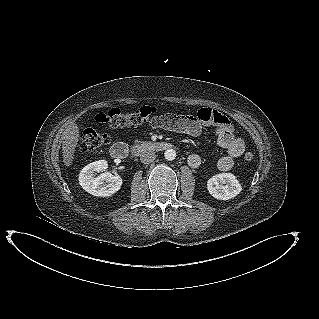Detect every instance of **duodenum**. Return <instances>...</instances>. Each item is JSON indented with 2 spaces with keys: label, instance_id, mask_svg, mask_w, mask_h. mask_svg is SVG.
Wrapping results in <instances>:
<instances>
[{
  "label": "duodenum",
  "instance_id": "410a0bca",
  "mask_svg": "<svg viewBox=\"0 0 319 319\" xmlns=\"http://www.w3.org/2000/svg\"><path fill=\"white\" fill-rule=\"evenodd\" d=\"M171 147V145L167 142L162 141H147L142 142L139 144H136L133 146V153L136 155L139 154H145L149 152H158V151H164ZM130 150L129 147L125 143H115L110 148V155L114 159L123 160L126 158L129 154Z\"/></svg>",
  "mask_w": 319,
  "mask_h": 319
}]
</instances>
